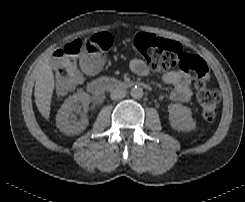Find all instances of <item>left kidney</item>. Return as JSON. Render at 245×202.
Instances as JSON below:
<instances>
[{"label":"left kidney","instance_id":"1","mask_svg":"<svg viewBox=\"0 0 245 202\" xmlns=\"http://www.w3.org/2000/svg\"><path fill=\"white\" fill-rule=\"evenodd\" d=\"M169 121L172 128L178 131H191L195 128L190 108L181 104H170L168 106Z\"/></svg>","mask_w":245,"mask_h":202}]
</instances>
